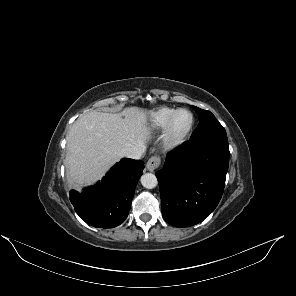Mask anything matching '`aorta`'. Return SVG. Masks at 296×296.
I'll return each instance as SVG.
<instances>
[{
	"label": "aorta",
	"mask_w": 296,
	"mask_h": 296,
	"mask_svg": "<svg viewBox=\"0 0 296 296\" xmlns=\"http://www.w3.org/2000/svg\"><path fill=\"white\" fill-rule=\"evenodd\" d=\"M141 184L143 187L147 189H153L157 186L158 181L154 174L152 173H145L141 176Z\"/></svg>",
	"instance_id": "obj_1"
}]
</instances>
